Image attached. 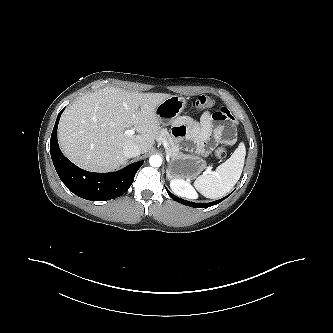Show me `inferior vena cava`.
I'll return each mask as SVG.
<instances>
[{
	"mask_svg": "<svg viewBox=\"0 0 333 333\" xmlns=\"http://www.w3.org/2000/svg\"><path fill=\"white\" fill-rule=\"evenodd\" d=\"M123 154L127 158L136 157L141 154V149L135 144L127 145L123 148Z\"/></svg>",
	"mask_w": 333,
	"mask_h": 333,
	"instance_id": "obj_1",
	"label": "inferior vena cava"
}]
</instances>
